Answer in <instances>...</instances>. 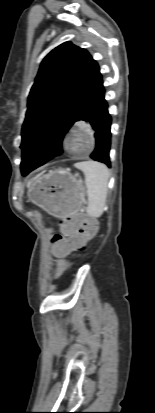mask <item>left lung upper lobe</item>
Masks as SVG:
<instances>
[{
	"mask_svg": "<svg viewBox=\"0 0 155 413\" xmlns=\"http://www.w3.org/2000/svg\"><path fill=\"white\" fill-rule=\"evenodd\" d=\"M100 81L96 61L71 42L59 45L43 59L22 128V174L45 164L60 150L56 138L79 121L83 105Z\"/></svg>",
	"mask_w": 155,
	"mask_h": 413,
	"instance_id": "1",
	"label": "left lung upper lobe"
}]
</instances>
